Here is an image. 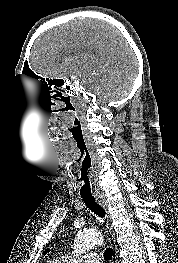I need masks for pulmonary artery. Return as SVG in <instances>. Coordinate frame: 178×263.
<instances>
[{
	"label": "pulmonary artery",
	"mask_w": 178,
	"mask_h": 263,
	"mask_svg": "<svg viewBox=\"0 0 178 263\" xmlns=\"http://www.w3.org/2000/svg\"><path fill=\"white\" fill-rule=\"evenodd\" d=\"M80 261L82 263H101V257L96 252H88L82 256Z\"/></svg>",
	"instance_id": "1"
}]
</instances>
